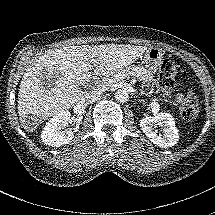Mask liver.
<instances>
[{
  "label": "liver",
  "mask_w": 215,
  "mask_h": 215,
  "mask_svg": "<svg viewBox=\"0 0 215 215\" xmlns=\"http://www.w3.org/2000/svg\"><path fill=\"white\" fill-rule=\"evenodd\" d=\"M147 47L108 43L66 45L34 57L20 81L17 112L21 127L32 133L59 112L74 107L83 97L80 86L92 77L109 76L135 62Z\"/></svg>",
  "instance_id": "1"
}]
</instances>
